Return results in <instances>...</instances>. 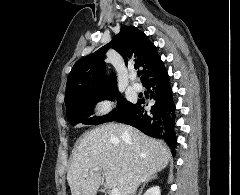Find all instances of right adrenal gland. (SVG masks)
<instances>
[{
	"mask_svg": "<svg viewBox=\"0 0 240 195\" xmlns=\"http://www.w3.org/2000/svg\"><path fill=\"white\" fill-rule=\"evenodd\" d=\"M156 177H157V175H156V173H155V175H151V177H149V179H146V181H144V183H143V185H142V187H141L138 195H141V193H142L145 185H147L148 181H152V179H156Z\"/></svg>",
	"mask_w": 240,
	"mask_h": 195,
	"instance_id": "1",
	"label": "right adrenal gland"
}]
</instances>
